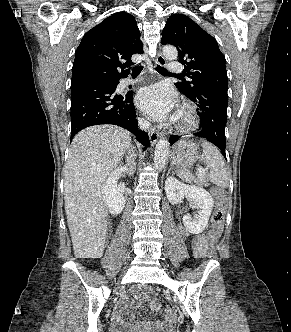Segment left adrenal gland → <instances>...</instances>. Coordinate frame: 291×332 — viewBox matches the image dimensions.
Here are the masks:
<instances>
[{
	"instance_id": "1",
	"label": "left adrenal gland",
	"mask_w": 291,
	"mask_h": 332,
	"mask_svg": "<svg viewBox=\"0 0 291 332\" xmlns=\"http://www.w3.org/2000/svg\"><path fill=\"white\" fill-rule=\"evenodd\" d=\"M171 170L168 171V174H170Z\"/></svg>"
}]
</instances>
